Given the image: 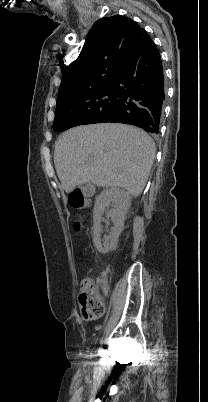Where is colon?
I'll return each mask as SVG.
<instances>
[{
    "instance_id": "colon-1",
    "label": "colon",
    "mask_w": 208,
    "mask_h": 402,
    "mask_svg": "<svg viewBox=\"0 0 208 402\" xmlns=\"http://www.w3.org/2000/svg\"><path fill=\"white\" fill-rule=\"evenodd\" d=\"M74 228V237L81 238L85 227L84 219L76 215L71 220ZM80 254H85V249H80ZM108 277H84L81 285L79 312L80 314H105L104 300L100 299V288L97 286H108Z\"/></svg>"
}]
</instances>
